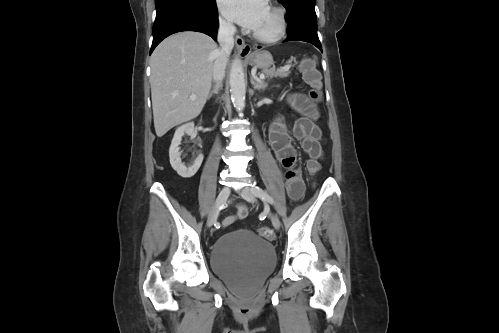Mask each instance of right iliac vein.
Here are the masks:
<instances>
[{
	"instance_id": "1",
	"label": "right iliac vein",
	"mask_w": 499,
	"mask_h": 333,
	"mask_svg": "<svg viewBox=\"0 0 499 333\" xmlns=\"http://www.w3.org/2000/svg\"><path fill=\"white\" fill-rule=\"evenodd\" d=\"M229 195H230V188L226 186L223 187L209 213L207 220L208 227H211L216 222L220 208L227 201Z\"/></svg>"
}]
</instances>
